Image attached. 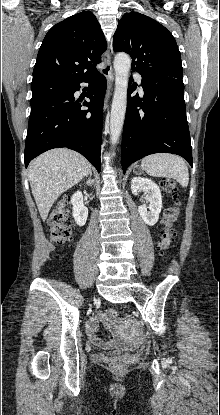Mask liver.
<instances>
[{"label": "liver", "mask_w": 220, "mask_h": 415, "mask_svg": "<svg viewBox=\"0 0 220 415\" xmlns=\"http://www.w3.org/2000/svg\"><path fill=\"white\" fill-rule=\"evenodd\" d=\"M90 171L91 164L82 155L66 148L49 150L30 164L28 179L43 221L58 197Z\"/></svg>", "instance_id": "1"}]
</instances>
